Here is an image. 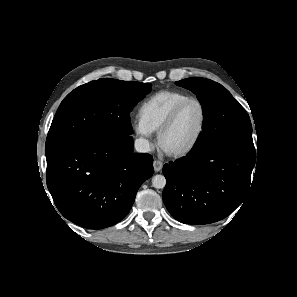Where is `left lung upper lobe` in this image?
<instances>
[{
	"mask_svg": "<svg viewBox=\"0 0 297 297\" xmlns=\"http://www.w3.org/2000/svg\"><path fill=\"white\" fill-rule=\"evenodd\" d=\"M176 85L196 94L205 115L203 131L192 152L216 145L255 151L249 115L226 88L200 77L177 81Z\"/></svg>",
	"mask_w": 297,
	"mask_h": 297,
	"instance_id": "obj_1",
	"label": "left lung upper lobe"
}]
</instances>
